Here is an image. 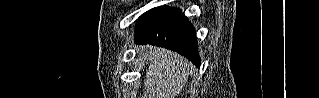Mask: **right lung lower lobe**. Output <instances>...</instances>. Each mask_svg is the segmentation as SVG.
<instances>
[{
	"label": "right lung lower lobe",
	"instance_id": "right-lung-lower-lobe-1",
	"mask_svg": "<svg viewBox=\"0 0 319 98\" xmlns=\"http://www.w3.org/2000/svg\"><path fill=\"white\" fill-rule=\"evenodd\" d=\"M134 40L177 51L200 66L195 29L178 8L161 6L144 13L137 21Z\"/></svg>",
	"mask_w": 319,
	"mask_h": 98
}]
</instances>
